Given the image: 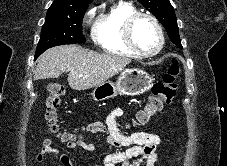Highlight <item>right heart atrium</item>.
I'll use <instances>...</instances> for the list:
<instances>
[{
	"label": "right heart atrium",
	"mask_w": 227,
	"mask_h": 166,
	"mask_svg": "<svg viewBox=\"0 0 227 166\" xmlns=\"http://www.w3.org/2000/svg\"><path fill=\"white\" fill-rule=\"evenodd\" d=\"M94 13H95V10L92 9L91 11H89L88 16L90 17V16H92Z\"/></svg>",
	"instance_id": "1"
}]
</instances>
